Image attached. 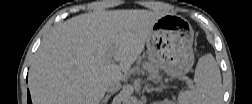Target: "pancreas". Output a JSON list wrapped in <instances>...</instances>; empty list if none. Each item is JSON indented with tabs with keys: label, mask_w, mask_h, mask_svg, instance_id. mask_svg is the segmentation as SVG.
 Listing matches in <instances>:
<instances>
[{
	"label": "pancreas",
	"mask_w": 252,
	"mask_h": 104,
	"mask_svg": "<svg viewBox=\"0 0 252 104\" xmlns=\"http://www.w3.org/2000/svg\"><path fill=\"white\" fill-rule=\"evenodd\" d=\"M143 68L148 70L155 79H157V80L160 79V77L157 75V67L155 65L150 64V63H146L143 65Z\"/></svg>",
	"instance_id": "cf45deb5"
}]
</instances>
